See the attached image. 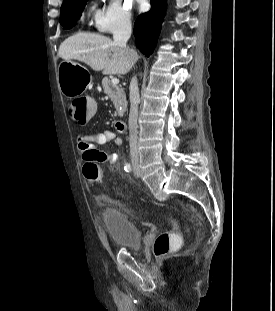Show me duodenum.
<instances>
[{
  "label": "duodenum",
  "mask_w": 275,
  "mask_h": 311,
  "mask_svg": "<svg viewBox=\"0 0 275 311\" xmlns=\"http://www.w3.org/2000/svg\"><path fill=\"white\" fill-rule=\"evenodd\" d=\"M116 129L119 131V132H125L127 130V125L124 121H117L116 124Z\"/></svg>",
  "instance_id": "duodenum-1"
}]
</instances>
